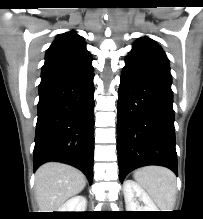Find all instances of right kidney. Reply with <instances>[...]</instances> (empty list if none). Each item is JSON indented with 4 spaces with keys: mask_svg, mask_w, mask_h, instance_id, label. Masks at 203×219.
<instances>
[{
    "mask_svg": "<svg viewBox=\"0 0 203 219\" xmlns=\"http://www.w3.org/2000/svg\"><path fill=\"white\" fill-rule=\"evenodd\" d=\"M87 200L84 196H75L63 204L59 212H85Z\"/></svg>",
    "mask_w": 203,
    "mask_h": 219,
    "instance_id": "obj_1",
    "label": "right kidney"
}]
</instances>
